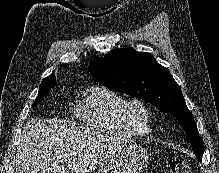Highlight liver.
I'll use <instances>...</instances> for the list:
<instances>
[{
    "label": "liver",
    "mask_w": 219,
    "mask_h": 173,
    "mask_svg": "<svg viewBox=\"0 0 219 173\" xmlns=\"http://www.w3.org/2000/svg\"><path fill=\"white\" fill-rule=\"evenodd\" d=\"M121 145V139L65 121L29 119L19 139L15 173H88Z\"/></svg>",
    "instance_id": "liver-1"
}]
</instances>
